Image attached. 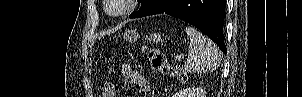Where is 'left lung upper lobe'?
I'll return each instance as SVG.
<instances>
[{"mask_svg":"<svg viewBox=\"0 0 302 97\" xmlns=\"http://www.w3.org/2000/svg\"><path fill=\"white\" fill-rule=\"evenodd\" d=\"M139 2L142 3L141 5V8L143 9L144 7H146L148 5V3L151 1V0H138ZM140 8V9H141Z\"/></svg>","mask_w":302,"mask_h":97,"instance_id":"obj_1","label":"left lung upper lobe"}]
</instances>
